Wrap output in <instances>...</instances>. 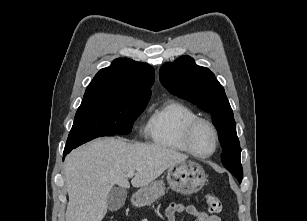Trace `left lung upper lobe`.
<instances>
[{"label":"left lung upper lobe","mask_w":307,"mask_h":221,"mask_svg":"<svg viewBox=\"0 0 307 221\" xmlns=\"http://www.w3.org/2000/svg\"><path fill=\"white\" fill-rule=\"evenodd\" d=\"M160 81L172 94L184 98L212 115L219 131L222 163L241 183V147L236 133L233 111L224 88L206 67L195 64L190 56H182L173 63L164 64Z\"/></svg>","instance_id":"5c2ea615"}]
</instances>
